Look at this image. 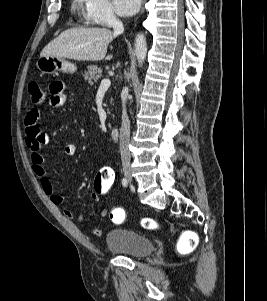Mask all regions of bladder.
<instances>
[{"label":"bladder","instance_id":"31cf9c89","mask_svg":"<svg viewBox=\"0 0 267 301\" xmlns=\"http://www.w3.org/2000/svg\"><path fill=\"white\" fill-rule=\"evenodd\" d=\"M107 248L113 252L139 258L154 251L153 242L147 237L126 229H112L105 237Z\"/></svg>","mask_w":267,"mask_h":301}]
</instances>
